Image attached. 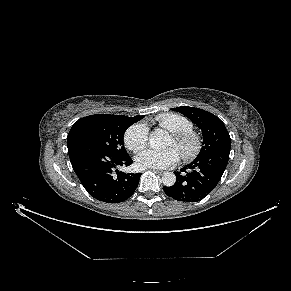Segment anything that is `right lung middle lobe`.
Segmentation results:
<instances>
[{"label":"right lung middle lobe","instance_id":"dd1d6c3e","mask_svg":"<svg viewBox=\"0 0 291 291\" xmlns=\"http://www.w3.org/2000/svg\"><path fill=\"white\" fill-rule=\"evenodd\" d=\"M136 122L124 115H91L79 119L67 136V146L86 141L116 155H127L123 137L126 129Z\"/></svg>","mask_w":291,"mask_h":291}]
</instances>
